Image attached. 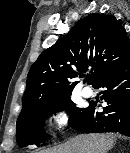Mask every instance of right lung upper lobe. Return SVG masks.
Masks as SVG:
<instances>
[{
  "label": "right lung upper lobe",
  "instance_id": "1",
  "mask_svg": "<svg viewBox=\"0 0 130 153\" xmlns=\"http://www.w3.org/2000/svg\"><path fill=\"white\" fill-rule=\"evenodd\" d=\"M130 58L127 32L111 15L93 13L83 18L33 63L20 115L41 104L71 94L76 78L92 86L99 78ZM19 115V116H20Z\"/></svg>",
  "mask_w": 130,
  "mask_h": 153
}]
</instances>
